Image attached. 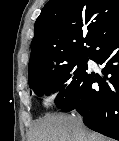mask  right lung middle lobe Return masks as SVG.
<instances>
[{
	"instance_id": "dd1d6c3e",
	"label": "right lung middle lobe",
	"mask_w": 119,
	"mask_h": 141,
	"mask_svg": "<svg viewBox=\"0 0 119 141\" xmlns=\"http://www.w3.org/2000/svg\"><path fill=\"white\" fill-rule=\"evenodd\" d=\"M87 57H77L62 66L42 70L29 75V87L38 96L59 91L55 103L64 105L73 95L86 74Z\"/></svg>"
}]
</instances>
